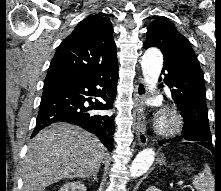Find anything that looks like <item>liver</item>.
Returning a JSON list of instances; mask_svg holds the SVG:
<instances>
[{
	"label": "liver",
	"mask_w": 221,
	"mask_h": 191,
	"mask_svg": "<svg viewBox=\"0 0 221 191\" xmlns=\"http://www.w3.org/2000/svg\"><path fill=\"white\" fill-rule=\"evenodd\" d=\"M106 157V148L93 134L68 123H54L28 145L23 191H43L59 180L91 175Z\"/></svg>",
	"instance_id": "6515ba94"
}]
</instances>
